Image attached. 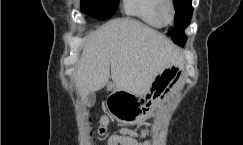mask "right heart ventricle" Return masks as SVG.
<instances>
[{
    "label": "right heart ventricle",
    "instance_id": "right-heart-ventricle-1",
    "mask_svg": "<svg viewBox=\"0 0 243 145\" xmlns=\"http://www.w3.org/2000/svg\"><path fill=\"white\" fill-rule=\"evenodd\" d=\"M160 0H123V9L127 15L134 16L155 28H161L164 23L158 16Z\"/></svg>",
    "mask_w": 243,
    "mask_h": 145
}]
</instances>
